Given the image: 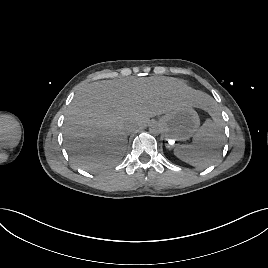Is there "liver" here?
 <instances>
[{
    "label": "liver",
    "instance_id": "6515ba94",
    "mask_svg": "<svg viewBox=\"0 0 268 268\" xmlns=\"http://www.w3.org/2000/svg\"><path fill=\"white\" fill-rule=\"evenodd\" d=\"M208 98L164 77L93 82L74 97L65 114L64 141L72 161L96 172L117 165L127 148L130 127L180 106L205 108Z\"/></svg>",
    "mask_w": 268,
    "mask_h": 268
}]
</instances>
